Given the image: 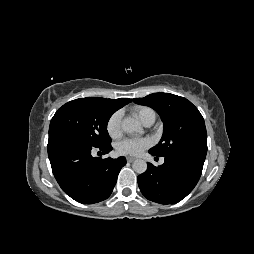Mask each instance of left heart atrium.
<instances>
[{"instance_id":"39dd6f15","label":"left heart atrium","mask_w":254,"mask_h":254,"mask_svg":"<svg viewBox=\"0 0 254 254\" xmlns=\"http://www.w3.org/2000/svg\"><path fill=\"white\" fill-rule=\"evenodd\" d=\"M150 141L143 138H128L124 139L117 145V150L120 154L138 155L147 147Z\"/></svg>"}]
</instances>
